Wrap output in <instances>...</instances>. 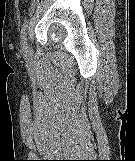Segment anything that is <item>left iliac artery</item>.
I'll list each match as a JSON object with an SVG mask.
<instances>
[{
  "instance_id": "44dca946",
  "label": "left iliac artery",
  "mask_w": 135,
  "mask_h": 161,
  "mask_svg": "<svg viewBox=\"0 0 135 161\" xmlns=\"http://www.w3.org/2000/svg\"><path fill=\"white\" fill-rule=\"evenodd\" d=\"M27 29H28V20H26L22 26L21 29V42L22 45H24L25 41H26V35H27Z\"/></svg>"
}]
</instances>
